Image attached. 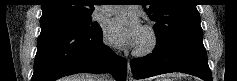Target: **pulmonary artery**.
Returning <instances> with one entry per match:
<instances>
[{"instance_id":"obj_1","label":"pulmonary artery","mask_w":237,"mask_h":81,"mask_svg":"<svg viewBox=\"0 0 237 81\" xmlns=\"http://www.w3.org/2000/svg\"><path fill=\"white\" fill-rule=\"evenodd\" d=\"M118 11H119V6H112V7H109L107 9H104V10L98 12L95 17L100 18V17H103V16H108V15L117 13Z\"/></svg>"}]
</instances>
